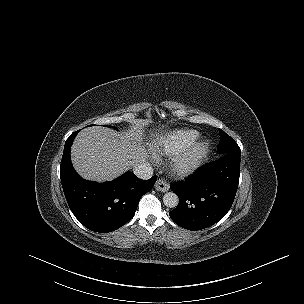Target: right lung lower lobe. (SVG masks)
<instances>
[{"label": "right lung lower lobe", "mask_w": 304, "mask_h": 304, "mask_svg": "<svg viewBox=\"0 0 304 304\" xmlns=\"http://www.w3.org/2000/svg\"><path fill=\"white\" fill-rule=\"evenodd\" d=\"M77 132L66 140L60 165V178L68 205L88 229L107 233L114 231L133 218L140 198L149 192L157 176L141 180L132 172L119 178L98 183L82 179L74 170L70 149Z\"/></svg>", "instance_id": "1"}]
</instances>
